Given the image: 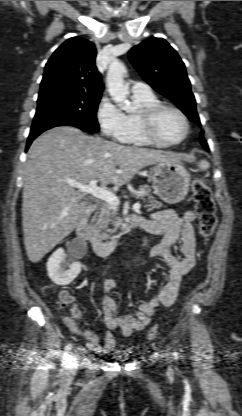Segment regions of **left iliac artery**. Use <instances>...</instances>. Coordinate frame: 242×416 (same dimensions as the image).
Segmentation results:
<instances>
[{"instance_id": "1", "label": "left iliac artery", "mask_w": 242, "mask_h": 416, "mask_svg": "<svg viewBox=\"0 0 242 416\" xmlns=\"http://www.w3.org/2000/svg\"><path fill=\"white\" fill-rule=\"evenodd\" d=\"M174 356L176 359L178 358V354L176 352H174Z\"/></svg>"}]
</instances>
